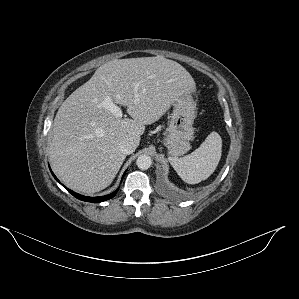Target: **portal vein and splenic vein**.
Segmentation results:
<instances>
[{
	"label": "portal vein and splenic vein",
	"mask_w": 299,
	"mask_h": 299,
	"mask_svg": "<svg viewBox=\"0 0 299 299\" xmlns=\"http://www.w3.org/2000/svg\"><path fill=\"white\" fill-rule=\"evenodd\" d=\"M103 107L111 111L117 117H122L123 115L122 109L115 105L110 97L105 98L103 101Z\"/></svg>",
	"instance_id": "obj_1"
}]
</instances>
